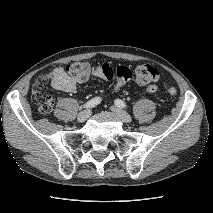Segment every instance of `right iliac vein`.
Segmentation results:
<instances>
[{
	"instance_id": "1",
	"label": "right iliac vein",
	"mask_w": 213,
	"mask_h": 213,
	"mask_svg": "<svg viewBox=\"0 0 213 213\" xmlns=\"http://www.w3.org/2000/svg\"><path fill=\"white\" fill-rule=\"evenodd\" d=\"M90 116V110H84L80 112L77 116L78 122L82 123L85 122Z\"/></svg>"
}]
</instances>
